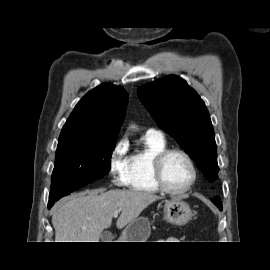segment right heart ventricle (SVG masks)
<instances>
[{
  "mask_svg": "<svg viewBox=\"0 0 270 270\" xmlns=\"http://www.w3.org/2000/svg\"><path fill=\"white\" fill-rule=\"evenodd\" d=\"M144 148L129 157L127 186L137 192L157 193L160 191L155 184L151 163L154 156L167 148L166 140L156 136H144Z\"/></svg>",
  "mask_w": 270,
  "mask_h": 270,
  "instance_id": "1",
  "label": "right heart ventricle"
}]
</instances>
